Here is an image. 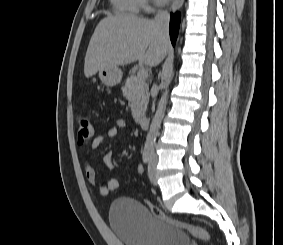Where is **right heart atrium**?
Listing matches in <instances>:
<instances>
[{
  "mask_svg": "<svg viewBox=\"0 0 283 245\" xmlns=\"http://www.w3.org/2000/svg\"><path fill=\"white\" fill-rule=\"evenodd\" d=\"M141 1V6L143 9L149 11L151 10L152 6L149 0H140Z\"/></svg>",
  "mask_w": 283,
  "mask_h": 245,
  "instance_id": "1",
  "label": "right heart atrium"
}]
</instances>
